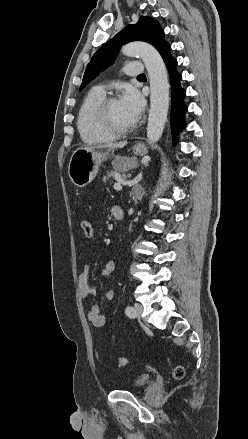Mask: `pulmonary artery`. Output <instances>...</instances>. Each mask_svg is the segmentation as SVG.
Returning <instances> with one entry per match:
<instances>
[{"mask_svg":"<svg viewBox=\"0 0 248 439\" xmlns=\"http://www.w3.org/2000/svg\"><path fill=\"white\" fill-rule=\"evenodd\" d=\"M144 73V66L142 62H130L125 66V74L127 76H139ZM96 89L102 93H105L104 86H98Z\"/></svg>","mask_w":248,"mask_h":439,"instance_id":"obj_1","label":"pulmonary artery"}]
</instances>
